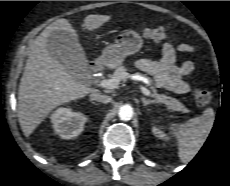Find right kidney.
Returning a JSON list of instances; mask_svg holds the SVG:
<instances>
[{"label":"right kidney","mask_w":230,"mask_h":186,"mask_svg":"<svg viewBox=\"0 0 230 186\" xmlns=\"http://www.w3.org/2000/svg\"><path fill=\"white\" fill-rule=\"evenodd\" d=\"M87 117L81 112H72L69 108H59L51 116L53 128L61 138L72 139L84 129Z\"/></svg>","instance_id":"right-kidney-1"}]
</instances>
